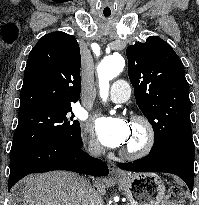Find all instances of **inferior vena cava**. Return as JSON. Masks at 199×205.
I'll use <instances>...</instances> for the list:
<instances>
[{
    "label": "inferior vena cava",
    "instance_id": "602c4592",
    "mask_svg": "<svg viewBox=\"0 0 199 205\" xmlns=\"http://www.w3.org/2000/svg\"><path fill=\"white\" fill-rule=\"evenodd\" d=\"M88 150L89 153L94 157L100 156L102 153V147L98 143L91 144ZM84 189L88 196L89 205H104L99 193L94 188H92L88 182H86Z\"/></svg>",
    "mask_w": 199,
    "mask_h": 205
}]
</instances>
